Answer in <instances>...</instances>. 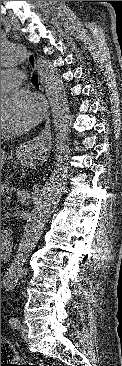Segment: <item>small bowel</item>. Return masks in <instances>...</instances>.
Instances as JSON below:
<instances>
[{
	"label": "small bowel",
	"instance_id": "1",
	"mask_svg": "<svg viewBox=\"0 0 122 366\" xmlns=\"http://www.w3.org/2000/svg\"><path fill=\"white\" fill-rule=\"evenodd\" d=\"M16 278V272L14 269H9V271L6 273L4 279L1 281L2 284L8 285L11 282H13Z\"/></svg>",
	"mask_w": 122,
	"mask_h": 366
}]
</instances>
